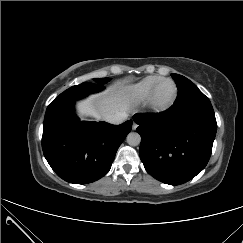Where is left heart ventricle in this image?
<instances>
[{
    "instance_id": "left-heart-ventricle-1",
    "label": "left heart ventricle",
    "mask_w": 243,
    "mask_h": 243,
    "mask_svg": "<svg viewBox=\"0 0 243 243\" xmlns=\"http://www.w3.org/2000/svg\"><path fill=\"white\" fill-rule=\"evenodd\" d=\"M173 95H174V86L172 83L167 82L159 88L156 95V101L159 104L167 103L172 99Z\"/></svg>"
}]
</instances>
